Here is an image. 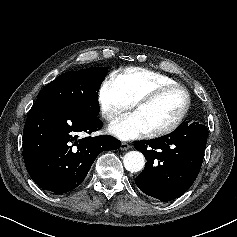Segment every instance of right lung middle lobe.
I'll list each match as a JSON object with an SVG mask.
<instances>
[{"instance_id": "obj_1", "label": "right lung middle lobe", "mask_w": 237, "mask_h": 237, "mask_svg": "<svg viewBox=\"0 0 237 237\" xmlns=\"http://www.w3.org/2000/svg\"><path fill=\"white\" fill-rule=\"evenodd\" d=\"M106 74V67L63 73L42 89L36 102L54 103L85 116H98V91Z\"/></svg>"}]
</instances>
